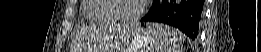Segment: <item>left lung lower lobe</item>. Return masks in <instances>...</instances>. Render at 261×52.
Instances as JSON below:
<instances>
[{
  "label": "left lung lower lobe",
  "mask_w": 261,
  "mask_h": 52,
  "mask_svg": "<svg viewBox=\"0 0 261 52\" xmlns=\"http://www.w3.org/2000/svg\"><path fill=\"white\" fill-rule=\"evenodd\" d=\"M203 10L204 0H154L153 7L141 21L168 24L196 40Z\"/></svg>",
  "instance_id": "1"
}]
</instances>
